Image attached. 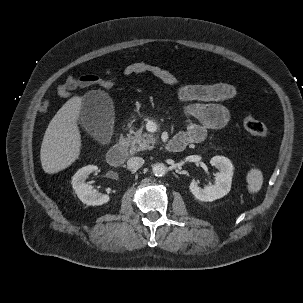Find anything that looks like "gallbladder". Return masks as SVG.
<instances>
[{
	"label": "gallbladder",
	"instance_id": "obj_1",
	"mask_svg": "<svg viewBox=\"0 0 303 303\" xmlns=\"http://www.w3.org/2000/svg\"><path fill=\"white\" fill-rule=\"evenodd\" d=\"M81 125L96 140L105 141L114 119L110 96L102 90L88 92L82 98Z\"/></svg>",
	"mask_w": 303,
	"mask_h": 303
}]
</instances>
